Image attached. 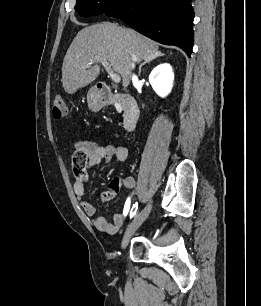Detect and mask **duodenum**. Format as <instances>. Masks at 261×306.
<instances>
[{
    "label": "duodenum",
    "instance_id": "410a0bca",
    "mask_svg": "<svg viewBox=\"0 0 261 306\" xmlns=\"http://www.w3.org/2000/svg\"><path fill=\"white\" fill-rule=\"evenodd\" d=\"M95 95L97 100L104 105L119 103L123 111L125 129L131 131L135 128L140 116V109L134 97L127 94L113 93L107 84H98Z\"/></svg>",
    "mask_w": 261,
    "mask_h": 306
}]
</instances>
